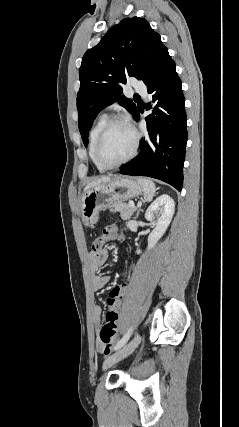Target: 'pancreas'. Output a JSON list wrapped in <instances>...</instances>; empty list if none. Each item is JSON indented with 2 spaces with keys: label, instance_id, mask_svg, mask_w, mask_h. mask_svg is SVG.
<instances>
[{
  "label": "pancreas",
  "instance_id": "obj_1",
  "mask_svg": "<svg viewBox=\"0 0 239 427\" xmlns=\"http://www.w3.org/2000/svg\"><path fill=\"white\" fill-rule=\"evenodd\" d=\"M135 210L136 208H131L129 204L122 202L114 203L110 208L111 212H119L123 220H129Z\"/></svg>",
  "mask_w": 239,
  "mask_h": 427
}]
</instances>
